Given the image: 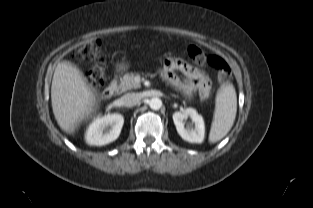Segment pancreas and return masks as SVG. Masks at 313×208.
<instances>
[{
    "instance_id": "cf45deb5",
    "label": "pancreas",
    "mask_w": 313,
    "mask_h": 208,
    "mask_svg": "<svg viewBox=\"0 0 313 208\" xmlns=\"http://www.w3.org/2000/svg\"><path fill=\"white\" fill-rule=\"evenodd\" d=\"M135 73H126L120 79V84L116 89L117 94H121L131 89L140 88V84L134 81Z\"/></svg>"
}]
</instances>
